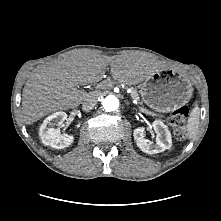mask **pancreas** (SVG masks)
<instances>
[{
    "instance_id": "1",
    "label": "pancreas",
    "mask_w": 221,
    "mask_h": 221,
    "mask_svg": "<svg viewBox=\"0 0 221 221\" xmlns=\"http://www.w3.org/2000/svg\"><path fill=\"white\" fill-rule=\"evenodd\" d=\"M131 96H132V98H134V99H136V100H139V99H140V97H139V94H138L137 90H136V89H134V88L132 89ZM152 115H154V114H152Z\"/></svg>"
}]
</instances>
